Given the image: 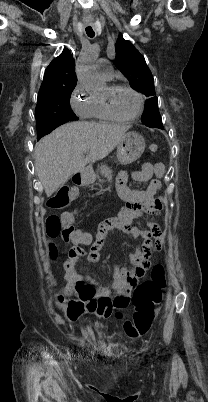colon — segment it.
Masks as SVG:
<instances>
[{
    "instance_id": "1",
    "label": "colon",
    "mask_w": 208,
    "mask_h": 402,
    "mask_svg": "<svg viewBox=\"0 0 208 402\" xmlns=\"http://www.w3.org/2000/svg\"><path fill=\"white\" fill-rule=\"evenodd\" d=\"M158 146L154 143L148 144L147 151L150 154L157 152ZM73 216L70 213L62 215H55L46 219V239L62 238L68 242H73V248L66 254L68 263H73L78 259V255H85L86 249L80 248V236L75 229H72ZM97 237V236H96ZM47 255L51 259H55L60 255V248L54 247V243H49V248L46 250ZM166 285V270L164 265L157 263L152 268L151 279L144 281L135 289L132 302L135 306V311L132 320H124L123 328L125 333L130 337H136L145 334L151 327L156 315V307L161 304L163 299V289ZM64 292L60 296L62 299L59 301L60 312L67 314L69 306H76L70 312L71 317L83 309L90 312H95L100 315L109 316L114 314L117 319H122L123 314L120 307L127 304V299L123 297H94L88 300L81 306L82 300L80 297H74L73 290L70 288L69 283L63 284ZM58 297V296H57Z\"/></svg>"
}]
</instances>
